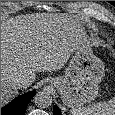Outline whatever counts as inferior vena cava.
Wrapping results in <instances>:
<instances>
[{
  "label": "inferior vena cava",
  "mask_w": 115,
  "mask_h": 115,
  "mask_svg": "<svg viewBox=\"0 0 115 115\" xmlns=\"http://www.w3.org/2000/svg\"><path fill=\"white\" fill-rule=\"evenodd\" d=\"M15 86L17 88H24L28 86V81L25 78H17L14 82Z\"/></svg>",
  "instance_id": "602c4592"
}]
</instances>
